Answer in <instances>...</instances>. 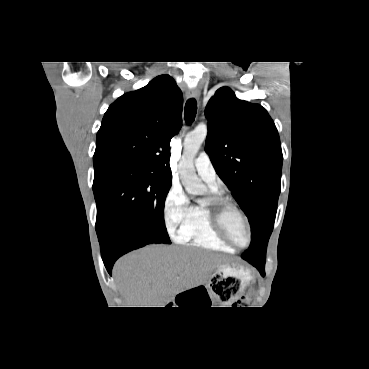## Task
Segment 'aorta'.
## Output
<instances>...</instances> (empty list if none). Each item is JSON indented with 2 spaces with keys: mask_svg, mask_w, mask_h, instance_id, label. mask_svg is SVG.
Here are the masks:
<instances>
[{
  "mask_svg": "<svg viewBox=\"0 0 369 369\" xmlns=\"http://www.w3.org/2000/svg\"><path fill=\"white\" fill-rule=\"evenodd\" d=\"M207 132V126L200 125L187 134L184 139L183 156L178 169L182 184L187 193L191 195H202L206 191V186L196 175L194 158L206 139Z\"/></svg>",
  "mask_w": 369,
  "mask_h": 369,
  "instance_id": "obj_1",
  "label": "aorta"
}]
</instances>
